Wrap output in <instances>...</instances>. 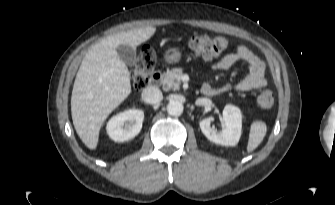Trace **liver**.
I'll return each instance as SVG.
<instances>
[{
    "instance_id": "1",
    "label": "liver",
    "mask_w": 335,
    "mask_h": 205,
    "mask_svg": "<svg viewBox=\"0 0 335 205\" xmlns=\"http://www.w3.org/2000/svg\"><path fill=\"white\" fill-rule=\"evenodd\" d=\"M155 32V27H146L108 36L83 58L73 85L71 114L78 136L89 149L96 148L108 115L131 93L130 72L118 56L117 46L135 48Z\"/></svg>"
}]
</instances>
